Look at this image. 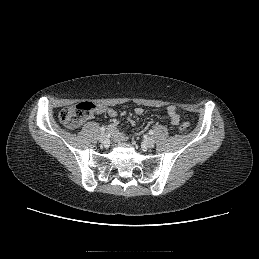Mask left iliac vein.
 I'll use <instances>...</instances> for the list:
<instances>
[{
  "instance_id": "1",
  "label": "left iliac vein",
  "mask_w": 259,
  "mask_h": 259,
  "mask_svg": "<svg viewBox=\"0 0 259 259\" xmlns=\"http://www.w3.org/2000/svg\"><path fill=\"white\" fill-rule=\"evenodd\" d=\"M144 145L148 148H152L155 145V140L152 137H149L144 141Z\"/></svg>"
}]
</instances>
